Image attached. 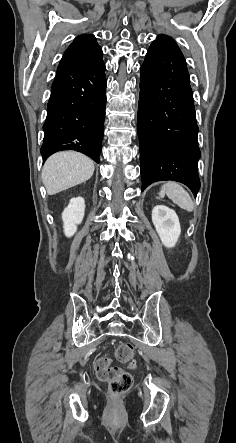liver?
I'll use <instances>...</instances> for the list:
<instances>
[{"mask_svg":"<svg viewBox=\"0 0 236 443\" xmlns=\"http://www.w3.org/2000/svg\"><path fill=\"white\" fill-rule=\"evenodd\" d=\"M94 173L93 161L74 151L50 156L42 169V181L48 195H54L89 180Z\"/></svg>","mask_w":236,"mask_h":443,"instance_id":"obj_1","label":"liver"}]
</instances>
